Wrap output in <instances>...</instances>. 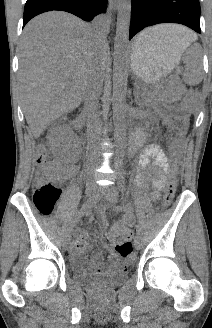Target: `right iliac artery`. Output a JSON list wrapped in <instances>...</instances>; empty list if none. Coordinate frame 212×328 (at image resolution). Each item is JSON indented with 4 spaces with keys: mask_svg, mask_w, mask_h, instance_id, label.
<instances>
[{
    "mask_svg": "<svg viewBox=\"0 0 212 328\" xmlns=\"http://www.w3.org/2000/svg\"><path fill=\"white\" fill-rule=\"evenodd\" d=\"M94 203H95V199L93 198L87 200V202L82 205L81 209L76 213L75 217L72 219V221L69 224V227L67 229V236L72 231L74 226L80 221L81 216L86 212L87 208L92 206Z\"/></svg>",
    "mask_w": 212,
    "mask_h": 328,
    "instance_id": "82829eb1",
    "label": "right iliac artery"
}]
</instances>
